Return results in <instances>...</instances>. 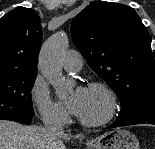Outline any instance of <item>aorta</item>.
<instances>
[{"label":"aorta","mask_w":155,"mask_h":149,"mask_svg":"<svg viewBox=\"0 0 155 149\" xmlns=\"http://www.w3.org/2000/svg\"><path fill=\"white\" fill-rule=\"evenodd\" d=\"M68 45V36L64 31H59L45 42L39 57L42 75L55 88L59 96L66 94L71 85L62 74V59Z\"/></svg>","instance_id":"obj_1"}]
</instances>
